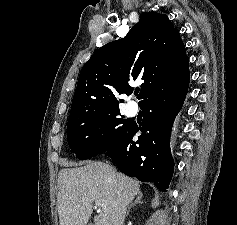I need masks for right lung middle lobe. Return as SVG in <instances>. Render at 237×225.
Masks as SVG:
<instances>
[{"label":"right lung middle lobe","mask_w":237,"mask_h":225,"mask_svg":"<svg viewBox=\"0 0 237 225\" xmlns=\"http://www.w3.org/2000/svg\"><path fill=\"white\" fill-rule=\"evenodd\" d=\"M128 126L129 122L120 117L118 109L82 121L69 120L68 144L78 159H89L112 147Z\"/></svg>","instance_id":"obj_1"}]
</instances>
